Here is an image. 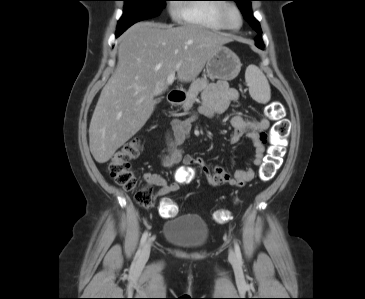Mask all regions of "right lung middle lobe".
Here are the masks:
<instances>
[{
  "label": "right lung middle lobe",
  "mask_w": 365,
  "mask_h": 299,
  "mask_svg": "<svg viewBox=\"0 0 365 299\" xmlns=\"http://www.w3.org/2000/svg\"><path fill=\"white\" fill-rule=\"evenodd\" d=\"M125 2L123 15L118 26L133 24L138 21L155 17L165 7L167 0H122Z\"/></svg>",
  "instance_id": "dd1d6c3e"
}]
</instances>
